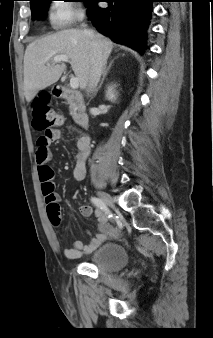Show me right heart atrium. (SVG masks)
<instances>
[{
    "mask_svg": "<svg viewBox=\"0 0 213 338\" xmlns=\"http://www.w3.org/2000/svg\"><path fill=\"white\" fill-rule=\"evenodd\" d=\"M77 16V9L70 4H59L52 10V21L58 26L72 22Z\"/></svg>",
    "mask_w": 213,
    "mask_h": 338,
    "instance_id": "d8ad5b80",
    "label": "right heart atrium"
}]
</instances>
